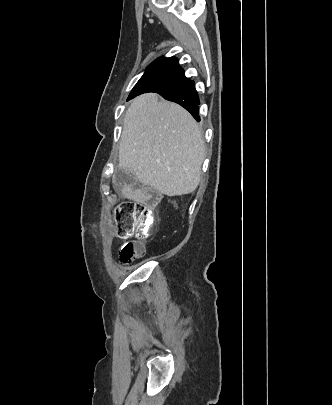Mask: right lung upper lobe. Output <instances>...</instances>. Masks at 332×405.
<instances>
[{
	"instance_id": "cb5924a9",
	"label": "right lung upper lobe",
	"mask_w": 332,
	"mask_h": 405,
	"mask_svg": "<svg viewBox=\"0 0 332 405\" xmlns=\"http://www.w3.org/2000/svg\"><path fill=\"white\" fill-rule=\"evenodd\" d=\"M145 72L163 73L171 76L184 77L188 80V78L185 77L184 70L179 67L178 59L175 57L158 58L146 68Z\"/></svg>"
}]
</instances>
